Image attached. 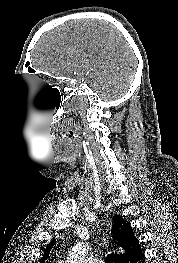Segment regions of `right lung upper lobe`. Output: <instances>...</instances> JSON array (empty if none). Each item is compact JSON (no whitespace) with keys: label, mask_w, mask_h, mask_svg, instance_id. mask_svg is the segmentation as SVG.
<instances>
[{"label":"right lung upper lobe","mask_w":178,"mask_h":263,"mask_svg":"<svg viewBox=\"0 0 178 263\" xmlns=\"http://www.w3.org/2000/svg\"><path fill=\"white\" fill-rule=\"evenodd\" d=\"M111 234L114 243L122 249V253L115 254V263H127V261L132 259L141 250L139 241L134 236L131 226L126 223L120 215H114L113 217ZM54 244L55 240L46 246L44 256L40 263H44V261L47 260L49 252Z\"/></svg>","instance_id":"cb5924a9"}]
</instances>
